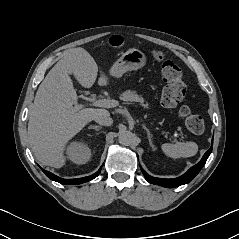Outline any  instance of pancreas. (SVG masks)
Instances as JSON below:
<instances>
[{"label":"pancreas","instance_id":"obj_1","mask_svg":"<svg viewBox=\"0 0 239 239\" xmlns=\"http://www.w3.org/2000/svg\"><path fill=\"white\" fill-rule=\"evenodd\" d=\"M120 99L123 101H130V102H138L141 105H144V99L137 95L136 92L127 90L124 93L121 94ZM145 106V105H144Z\"/></svg>","mask_w":239,"mask_h":239}]
</instances>
